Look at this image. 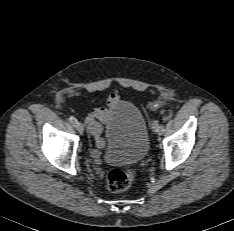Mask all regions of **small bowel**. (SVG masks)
<instances>
[{
    "label": "small bowel",
    "mask_w": 234,
    "mask_h": 231,
    "mask_svg": "<svg viewBox=\"0 0 234 231\" xmlns=\"http://www.w3.org/2000/svg\"><path fill=\"white\" fill-rule=\"evenodd\" d=\"M119 101V95L117 93H111L107 100L106 107L94 108L89 115H87L85 121L87 129L91 137L93 138L96 147L92 151V155L96 162L100 161V149L104 145V141L101 137L102 126L107 124L110 119V112Z\"/></svg>",
    "instance_id": "obj_1"
}]
</instances>
